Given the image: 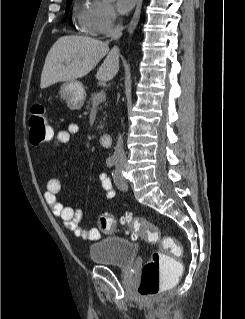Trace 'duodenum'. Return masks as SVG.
Instances as JSON below:
<instances>
[{
	"label": "duodenum",
	"instance_id": "duodenum-1",
	"mask_svg": "<svg viewBox=\"0 0 245 319\" xmlns=\"http://www.w3.org/2000/svg\"><path fill=\"white\" fill-rule=\"evenodd\" d=\"M100 142H101L102 146H104L105 148H109L111 146V143H112L111 134L103 133L100 137Z\"/></svg>",
	"mask_w": 245,
	"mask_h": 319
}]
</instances>
